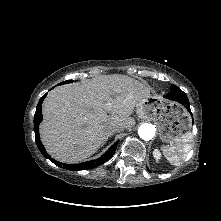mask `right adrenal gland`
Here are the masks:
<instances>
[{
	"instance_id": "right-adrenal-gland-1",
	"label": "right adrenal gland",
	"mask_w": 221,
	"mask_h": 221,
	"mask_svg": "<svg viewBox=\"0 0 221 221\" xmlns=\"http://www.w3.org/2000/svg\"><path fill=\"white\" fill-rule=\"evenodd\" d=\"M108 136H110V135H107V136H106L105 142L108 140ZM105 142H104V143H105Z\"/></svg>"
}]
</instances>
